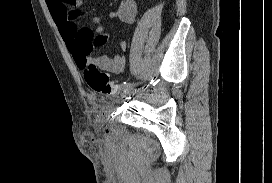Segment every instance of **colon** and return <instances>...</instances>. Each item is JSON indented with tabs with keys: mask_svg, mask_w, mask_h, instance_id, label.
Masks as SVG:
<instances>
[{
	"mask_svg": "<svg viewBox=\"0 0 272 183\" xmlns=\"http://www.w3.org/2000/svg\"><path fill=\"white\" fill-rule=\"evenodd\" d=\"M84 77L88 86L96 93L112 95L117 92L118 87L110 77L94 66H89L84 71Z\"/></svg>",
	"mask_w": 272,
	"mask_h": 183,
	"instance_id": "obj_1",
	"label": "colon"
}]
</instances>
